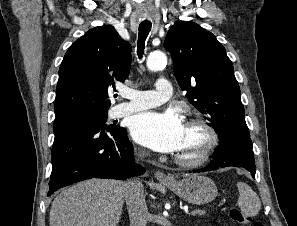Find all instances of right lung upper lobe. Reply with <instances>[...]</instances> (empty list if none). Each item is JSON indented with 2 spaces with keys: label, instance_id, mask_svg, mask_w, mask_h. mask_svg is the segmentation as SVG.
Here are the masks:
<instances>
[{
  "label": "right lung upper lobe",
  "instance_id": "1",
  "mask_svg": "<svg viewBox=\"0 0 297 226\" xmlns=\"http://www.w3.org/2000/svg\"><path fill=\"white\" fill-rule=\"evenodd\" d=\"M131 46L113 26L95 27L76 40L59 69L55 115L61 118L83 111L108 110V90L130 71Z\"/></svg>",
  "mask_w": 297,
  "mask_h": 226
}]
</instances>
